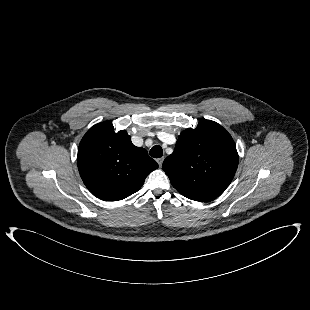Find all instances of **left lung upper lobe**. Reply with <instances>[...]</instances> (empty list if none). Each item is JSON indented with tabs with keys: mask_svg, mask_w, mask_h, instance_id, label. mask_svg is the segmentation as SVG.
<instances>
[{
	"mask_svg": "<svg viewBox=\"0 0 310 310\" xmlns=\"http://www.w3.org/2000/svg\"><path fill=\"white\" fill-rule=\"evenodd\" d=\"M238 161L231 135L218 123L201 119L195 129L181 132L162 168L183 196L207 201L220 196L229 186Z\"/></svg>",
	"mask_w": 310,
	"mask_h": 310,
	"instance_id": "obj_1",
	"label": "left lung upper lobe"
}]
</instances>
